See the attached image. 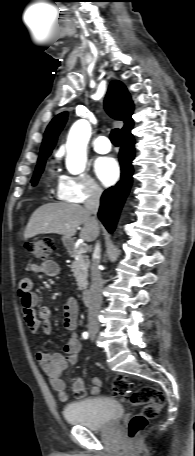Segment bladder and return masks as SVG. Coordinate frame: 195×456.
I'll return each mask as SVG.
<instances>
[{
	"instance_id": "1",
	"label": "bladder",
	"mask_w": 195,
	"mask_h": 456,
	"mask_svg": "<svg viewBox=\"0 0 195 456\" xmlns=\"http://www.w3.org/2000/svg\"><path fill=\"white\" fill-rule=\"evenodd\" d=\"M123 415V407L110 398H91L72 402L63 409L64 419L92 430L105 429Z\"/></svg>"
}]
</instances>
